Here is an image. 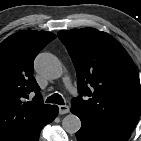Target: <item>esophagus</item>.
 I'll return each instance as SVG.
<instances>
[{
    "instance_id": "1",
    "label": "esophagus",
    "mask_w": 141,
    "mask_h": 141,
    "mask_svg": "<svg viewBox=\"0 0 141 141\" xmlns=\"http://www.w3.org/2000/svg\"><path fill=\"white\" fill-rule=\"evenodd\" d=\"M70 112V108L67 105H60L59 106V114L63 115V114H67Z\"/></svg>"
}]
</instances>
